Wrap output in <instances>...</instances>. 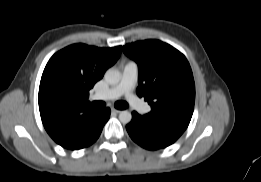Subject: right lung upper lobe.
<instances>
[{
    "instance_id": "right-lung-upper-lobe-1",
    "label": "right lung upper lobe",
    "mask_w": 261,
    "mask_h": 182,
    "mask_svg": "<svg viewBox=\"0 0 261 182\" xmlns=\"http://www.w3.org/2000/svg\"><path fill=\"white\" fill-rule=\"evenodd\" d=\"M121 48L73 44L50 58L41 77L38 103L43 125L57 144L70 142L79 123L95 113L87 105L89 90L117 61Z\"/></svg>"
}]
</instances>
